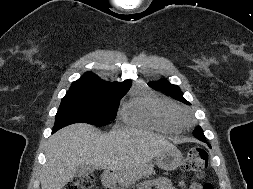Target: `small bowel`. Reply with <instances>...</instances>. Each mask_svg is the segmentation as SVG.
I'll return each instance as SVG.
<instances>
[{"mask_svg": "<svg viewBox=\"0 0 253 189\" xmlns=\"http://www.w3.org/2000/svg\"><path fill=\"white\" fill-rule=\"evenodd\" d=\"M174 189L172 183L168 178L161 177L152 182L146 183L141 189ZM190 189H199L197 184H192Z\"/></svg>", "mask_w": 253, "mask_h": 189, "instance_id": "small-bowel-1", "label": "small bowel"}]
</instances>
